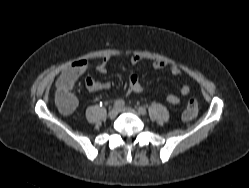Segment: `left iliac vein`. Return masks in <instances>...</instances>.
<instances>
[{
  "label": "left iliac vein",
  "instance_id": "1",
  "mask_svg": "<svg viewBox=\"0 0 249 188\" xmlns=\"http://www.w3.org/2000/svg\"><path fill=\"white\" fill-rule=\"evenodd\" d=\"M120 112H124V113H132L135 115H140V113L138 111H136L135 109L131 108V107H121L119 109Z\"/></svg>",
  "mask_w": 249,
  "mask_h": 188
}]
</instances>
